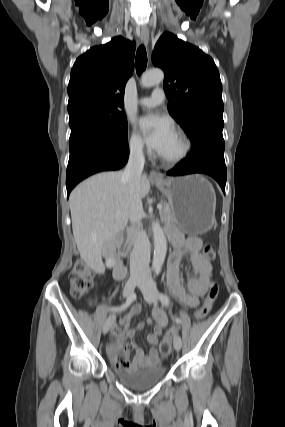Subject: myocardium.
<instances>
[{
  "label": "myocardium",
  "instance_id": "myocardium-1",
  "mask_svg": "<svg viewBox=\"0 0 285 427\" xmlns=\"http://www.w3.org/2000/svg\"><path fill=\"white\" fill-rule=\"evenodd\" d=\"M174 132L180 137V139L182 140L183 143V148L182 151L179 155L175 156V157H162L159 154H157V159L164 165H177L179 163H181L182 161H184L190 154L191 150H192V142L189 138V136L182 130L179 128H176L174 130Z\"/></svg>",
  "mask_w": 285,
  "mask_h": 427
}]
</instances>
